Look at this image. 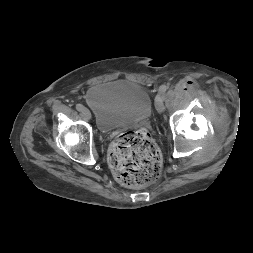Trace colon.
<instances>
[{
  "mask_svg": "<svg viewBox=\"0 0 253 253\" xmlns=\"http://www.w3.org/2000/svg\"><path fill=\"white\" fill-rule=\"evenodd\" d=\"M109 162L116 179L133 188L155 182L162 167L158 147L143 130L120 134L110 148Z\"/></svg>",
  "mask_w": 253,
  "mask_h": 253,
  "instance_id": "obj_1",
  "label": "colon"
}]
</instances>
